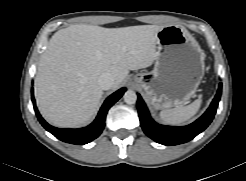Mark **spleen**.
Here are the masks:
<instances>
[{
  "instance_id": "obj_1",
  "label": "spleen",
  "mask_w": 246,
  "mask_h": 181,
  "mask_svg": "<svg viewBox=\"0 0 246 181\" xmlns=\"http://www.w3.org/2000/svg\"><path fill=\"white\" fill-rule=\"evenodd\" d=\"M202 100L196 99L187 106L165 109L160 112V118L166 123L178 125L191 119L200 109Z\"/></svg>"
}]
</instances>
